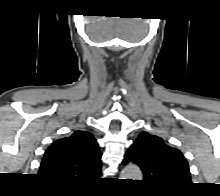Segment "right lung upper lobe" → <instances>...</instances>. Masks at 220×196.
I'll return each mask as SVG.
<instances>
[{
	"mask_svg": "<svg viewBox=\"0 0 220 196\" xmlns=\"http://www.w3.org/2000/svg\"><path fill=\"white\" fill-rule=\"evenodd\" d=\"M101 155L92 134L76 131L47 149L38 174L54 184L83 185L100 177Z\"/></svg>",
	"mask_w": 220,
	"mask_h": 196,
	"instance_id": "cb5924a9",
	"label": "right lung upper lobe"
}]
</instances>
